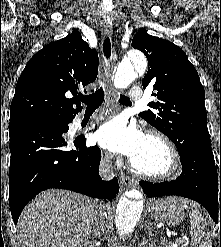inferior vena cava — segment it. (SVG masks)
I'll return each instance as SVG.
<instances>
[{"label": "inferior vena cava", "instance_id": "obj_1", "mask_svg": "<svg viewBox=\"0 0 221 247\" xmlns=\"http://www.w3.org/2000/svg\"><path fill=\"white\" fill-rule=\"evenodd\" d=\"M100 172L105 179H110L113 177V171L110 164V156L106 155V160L104 163H102ZM100 205L101 203L98 202V205L93 214V232L95 236H100V229H102L104 225L105 213L102 211Z\"/></svg>", "mask_w": 221, "mask_h": 247}]
</instances>
